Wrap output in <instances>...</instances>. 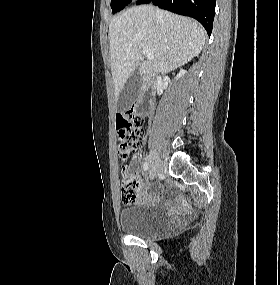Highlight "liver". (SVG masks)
Returning a JSON list of instances; mask_svg holds the SVG:
<instances>
[{
    "mask_svg": "<svg viewBox=\"0 0 280 285\" xmlns=\"http://www.w3.org/2000/svg\"><path fill=\"white\" fill-rule=\"evenodd\" d=\"M205 40V30L189 18L147 5L125 10L109 25L116 100L137 68L145 78L166 74L198 56ZM143 47L153 52L152 60L141 61Z\"/></svg>",
    "mask_w": 280,
    "mask_h": 285,
    "instance_id": "obj_1",
    "label": "liver"
}]
</instances>
